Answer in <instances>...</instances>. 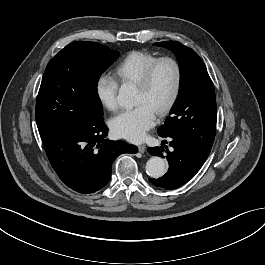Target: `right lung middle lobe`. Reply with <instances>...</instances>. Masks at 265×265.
Instances as JSON below:
<instances>
[{
  "label": "right lung middle lobe",
  "mask_w": 265,
  "mask_h": 265,
  "mask_svg": "<svg viewBox=\"0 0 265 265\" xmlns=\"http://www.w3.org/2000/svg\"><path fill=\"white\" fill-rule=\"evenodd\" d=\"M118 57L119 52L88 41L73 42L56 54L46 67L36 102L43 142L103 118L97 84Z\"/></svg>",
  "instance_id": "obj_1"
}]
</instances>
